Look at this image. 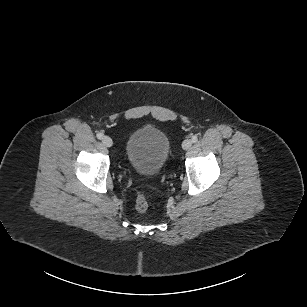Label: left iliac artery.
Returning <instances> with one entry per match:
<instances>
[{"label":"left iliac artery","instance_id":"44dca946","mask_svg":"<svg viewBox=\"0 0 307 307\" xmlns=\"http://www.w3.org/2000/svg\"><path fill=\"white\" fill-rule=\"evenodd\" d=\"M191 141H192L193 143L197 142V141H198V137H197L196 135L193 136L192 139H191Z\"/></svg>","mask_w":307,"mask_h":307}]
</instances>
